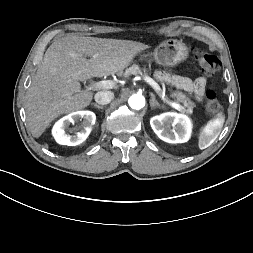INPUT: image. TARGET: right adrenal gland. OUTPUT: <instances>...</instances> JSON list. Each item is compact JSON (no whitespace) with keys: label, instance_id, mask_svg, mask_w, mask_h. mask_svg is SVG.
Segmentation results:
<instances>
[{"label":"right adrenal gland","instance_id":"right-adrenal-gland-1","mask_svg":"<svg viewBox=\"0 0 253 253\" xmlns=\"http://www.w3.org/2000/svg\"><path fill=\"white\" fill-rule=\"evenodd\" d=\"M92 105H93L95 108H98V109H104V108H105L104 106L98 105V104H96V103H92Z\"/></svg>","mask_w":253,"mask_h":253}]
</instances>
